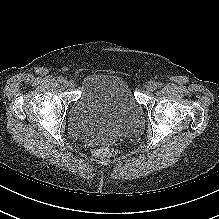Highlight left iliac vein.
Wrapping results in <instances>:
<instances>
[{"mask_svg":"<svg viewBox=\"0 0 219 219\" xmlns=\"http://www.w3.org/2000/svg\"><path fill=\"white\" fill-rule=\"evenodd\" d=\"M146 89L148 91H154L156 89V83L153 81H149L146 85Z\"/></svg>","mask_w":219,"mask_h":219,"instance_id":"1","label":"left iliac vein"}]
</instances>
